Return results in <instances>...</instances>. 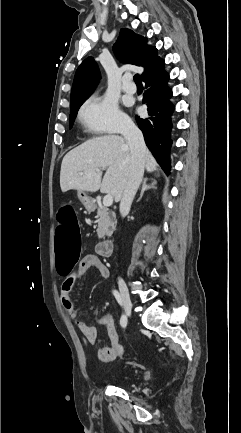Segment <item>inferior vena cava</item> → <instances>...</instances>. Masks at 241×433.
Returning a JSON list of instances; mask_svg holds the SVG:
<instances>
[{"instance_id":"inferior-vena-cava-1","label":"inferior vena cava","mask_w":241,"mask_h":433,"mask_svg":"<svg viewBox=\"0 0 241 433\" xmlns=\"http://www.w3.org/2000/svg\"><path fill=\"white\" fill-rule=\"evenodd\" d=\"M122 135L131 153L130 173L119 206L120 214L124 217L131 208V204L143 178L146 145L142 132L132 121L125 123L122 128Z\"/></svg>"}]
</instances>
